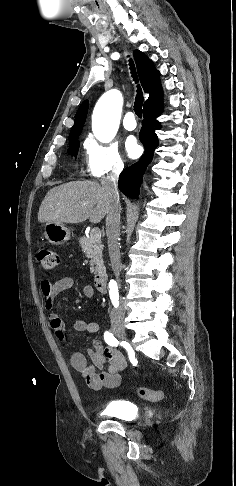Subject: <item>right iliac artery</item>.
Returning a JSON list of instances; mask_svg holds the SVG:
<instances>
[{"mask_svg": "<svg viewBox=\"0 0 236 486\" xmlns=\"http://www.w3.org/2000/svg\"><path fill=\"white\" fill-rule=\"evenodd\" d=\"M104 340L110 346H114V347L118 346V340L115 338V336L111 332L106 331L104 333Z\"/></svg>", "mask_w": 236, "mask_h": 486, "instance_id": "1", "label": "right iliac artery"}]
</instances>
